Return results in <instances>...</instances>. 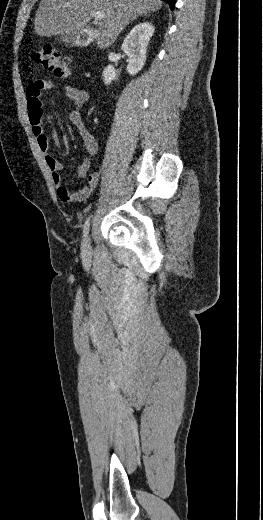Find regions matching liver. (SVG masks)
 Returning a JSON list of instances; mask_svg holds the SVG:
<instances>
[{"label": "liver", "mask_w": 263, "mask_h": 520, "mask_svg": "<svg viewBox=\"0 0 263 520\" xmlns=\"http://www.w3.org/2000/svg\"><path fill=\"white\" fill-rule=\"evenodd\" d=\"M161 0H41L34 19L35 33L41 37L79 33L101 12L96 31L97 44L107 48L130 21L158 11Z\"/></svg>", "instance_id": "liver-1"}]
</instances>
